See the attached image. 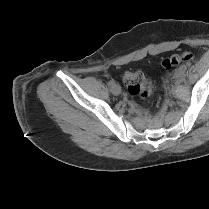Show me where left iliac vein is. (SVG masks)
<instances>
[{"mask_svg": "<svg viewBox=\"0 0 209 209\" xmlns=\"http://www.w3.org/2000/svg\"><path fill=\"white\" fill-rule=\"evenodd\" d=\"M181 75H182V71L181 70H177L173 77H174L175 80L178 81V80L181 79V77H182Z\"/></svg>", "mask_w": 209, "mask_h": 209, "instance_id": "4c4485c4", "label": "left iliac vein"}]
</instances>
